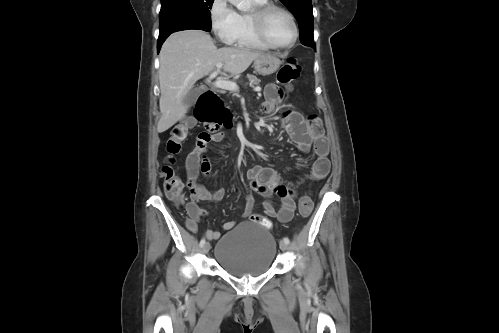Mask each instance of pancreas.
Returning <instances> with one entry per match:
<instances>
[{
  "mask_svg": "<svg viewBox=\"0 0 499 333\" xmlns=\"http://www.w3.org/2000/svg\"><path fill=\"white\" fill-rule=\"evenodd\" d=\"M247 78L249 79L252 87L258 86L260 83V80L255 75L247 74Z\"/></svg>",
  "mask_w": 499,
  "mask_h": 333,
  "instance_id": "1",
  "label": "pancreas"
}]
</instances>
